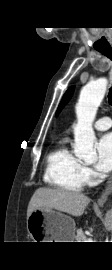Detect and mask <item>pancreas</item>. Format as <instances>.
Masks as SVG:
<instances>
[{"label":"pancreas","mask_w":112,"mask_h":270,"mask_svg":"<svg viewBox=\"0 0 112 270\" xmlns=\"http://www.w3.org/2000/svg\"><path fill=\"white\" fill-rule=\"evenodd\" d=\"M75 239H76L75 242H85L86 241V236H85L84 232L82 231V229L77 230V234H76Z\"/></svg>","instance_id":"cf45deb5"}]
</instances>
